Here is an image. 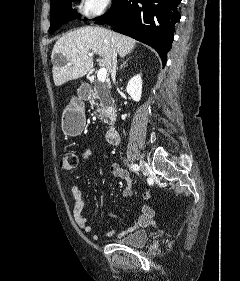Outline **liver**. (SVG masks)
Masks as SVG:
<instances>
[{
  "instance_id": "liver-1",
  "label": "liver",
  "mask_w": 240,
  "mask_h": 281,
  "mask_svg": "<svg viewBox=\"0 0 240 281\" xmlns=\"http://www.w3.org/2000/svg\"><path fill=\"white\" fill-rule=\"evenodd\" d=\"M136 41L125 35L115 33L102 27L85 26L68 32L57 40L52 51L53 80L56 86L85 76L93 67V56L101 59L99 66L109 73L112 70V54L124 57L135 48ZM65 59L64 65L55 62V55Z\"/></svg>"
}]
</instances>
